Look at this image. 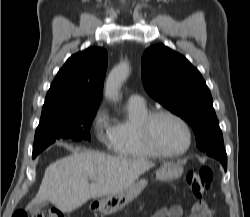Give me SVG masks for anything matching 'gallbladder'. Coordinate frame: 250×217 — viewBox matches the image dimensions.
<instances>
[{"mask_svg": "<svg viewBox=\"0 0 250 217\" xmlns=\"http://www.w3.org/2000/svg\"><path fill=\"white\" fill-rule=\"evenodd\" d=\"M48 205V202L47 201H44V202H41V203H38L34 206H32L30 208V212L32 214H36L37 212H39L42 208L46 207Z\"/></svg>", "mask_w": 250, "mask_h": 217, "instance_id": "1", "label": "gallbladder"}]
</instances>
